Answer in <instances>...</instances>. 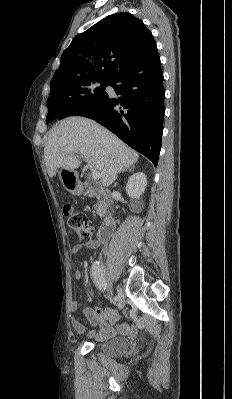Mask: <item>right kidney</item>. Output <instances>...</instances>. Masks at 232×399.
I'll return each mask as SVG.
<instances>
[{"instance_id": "right-kidney-1", "label": "right kidney", "mask_w": 232, "mask_h": 399, "mask_svg": "<svg viewBox=\"0 0 232 399\" xmlns=\"http://www.w3.org/2000/svg\"><path fill=\"white\" fill-rule=\"evenodd\" d=\"M146 186L147 180L143 172L133 174V176L129 178L128 184H126V194H128L131 200H135L136 207H140V209L144 207V201L140 200V196L145 192Z\"/></svg>"}]
</instances>
